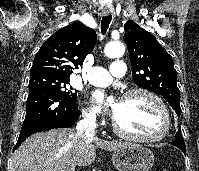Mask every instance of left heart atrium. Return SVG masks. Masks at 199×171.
Segmentation results:
<instances>
[{
  "instance_id": "1",
  "label": "left heart atrium",
  "mask_w": 199,
  "mask_h": 171,
  "mask_svg": "<svg viewBox=\"0 0 199 171\" xmlns=\"http://www.w3.org/2000/svg\"><path fill=\"white\" fill-rule=\"evenodd\" d=\"M103 100H104V95H103V93H101V92H95V93L93 94V96H92V101H93L95 107H96L98 110L101 109L102 104H103ZM118 103H119V102H118ZM118 103H116V104H118ZM116 104H115V105H116ZM115 105H114V108H113L112 111H111V113H112V115H113L114 117H115L116 111H117Z\"/></svg>"
}]
</instances>
